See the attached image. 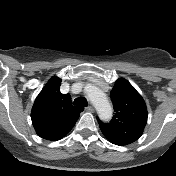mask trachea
<instances>
[{
	"mask_svg": "<svg viewBox=\"0 0 176 176\" xmlns=\"http://www.w3.org/2000/svg\"><path fill=\"white\" fill-rule=\"evenodd\" d=\"M74 105H79V106H87V100L85 98L79 97L76 98L73 102Z\"/></svg>",
	"mask_w": 176,
	"mask_h": 176,
	"instance_id": "3493384b",
	"label": "trachea"
}]
</instances>
